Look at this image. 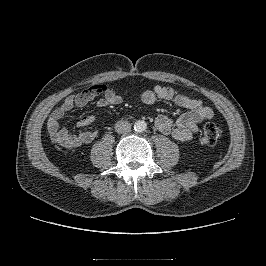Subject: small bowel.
<instances>
[{
	"mask_svg": "<svg viewBox=\"0 0 266 266\" xmlns=\"http://www.w3.org/2000/svg\"><path fill=\"white\" fill-rule=\"evenodd\" d=\"M93 98L88 96L87 90L68 96L50 114L47 121V131L50 140L54 144L66 149H73L83 144H88L96 138L98 134L96 130L71 134L61 125V121L68 112L74 108L85 106ZM141 100L147 105H152L158 100H165L187 110L177 118H172L168 115H159L155 119V126L161 133L170 135L179 141L191 139L193 134L197 132L199 124L214 116L213 110L209 106L204 105L201 100L179 94L172 88L162 85H156L151 90L145 91L141 96ZM122 102V95L113 89H107L104 96L96 100V105L98 107H107L110 105H119ZM93 122L94 117L92 115H84L78 120L76 126L83 128Z\"/></svg>",
	"mask_w": 266,
	"mask_h": 266,
	"instance_id": "c3829d8e",
	"label": "small bowel"
}]
</instances>
